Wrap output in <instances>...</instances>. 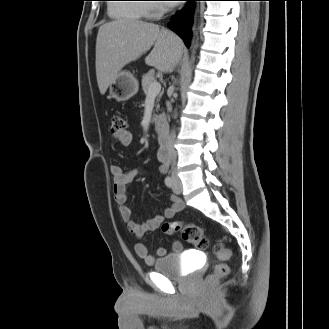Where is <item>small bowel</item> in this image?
I'll list each match as a JSON object with an SVG mask.
<instances>
[{"instance_id":"1","label":"small bowel","mask_w":329,"mask_h":329,"mask_svg":"<svg viewBox=\"0 0 329 329\" xmlns=\"http://www.w3.org/2000/svg\"><path fill=\"white\" fill-rule=\"evenodd\" d=\"M115 138L123 146H129L133 142V136L129 131H124L122 134L116 135ZM158 170L160 173L166 172L167 163L165 160L160 162ZM111 173L113 176L114 199L118 205L121 218L127 223L129 231L137 238H142L146 232L157 229L165 219L173 217L183 208V202L180 198L176 196H170V206L166 208L162 213L155 215L152 219L145 222H136L132 220V212L126 205L127 189L137 177L143 174V169L140 167H133L125 171L120 165H112ZM134 250L138 257H140L145 263L153 264L155 257L150 254L145 244L141 242L136 243ZM182 250L183 245L180 241L173 242L172 251L180 252ZM156 253L157 256L160 257L167 254V250L160 247L157 249Z\"/></svg>"}]
</instances>
